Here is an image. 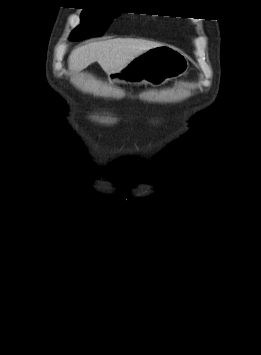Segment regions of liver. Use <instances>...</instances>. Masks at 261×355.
Segmentation results:
<instances>
[{"label": "liver", "mask_w": 261, "mask_h": 355, "mask_svg": "<svg viewBox=\"0 0 261 355\" xmlns=\"http://www.w3.org/2000/svg\"><path fill=\"white\" fill-rule=\"evenodd\" d=\"M161 46V44L133 38H117L74 49L69 56V68L79 72L90 64L98 62L106 73L119 71L143 52Z\"/></svg>", "instance_id": "1"}]
</instances>
